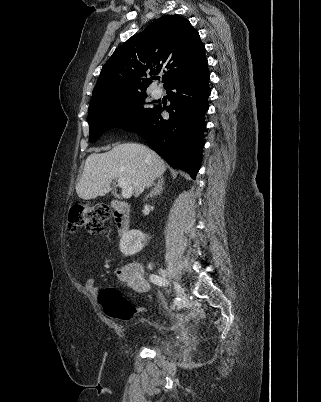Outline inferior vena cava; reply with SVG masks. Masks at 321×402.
Returning <instances> with one entry per match:
<instances>
[{
    "label": "inferior vena cava",
    "mask_w": 321,
    "mask_h": 402,
    "mask_svg": "<svg viewBox=\"0 0 321 402\" xmlns=\"http://www.w3.org/2000/svg\"><path fill=\"white\" fill-rule=\"evenodd\" d=\"M154 179L152 175H148L145 181V187L149 188L153 184Z\"/></svg>",
    "instance_id": "602c4592"
}]
</instances>
